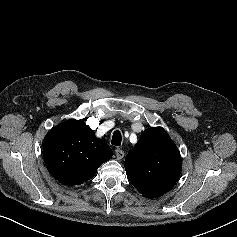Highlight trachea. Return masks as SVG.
<instances>
[{"label": "trachea", "instance_id": "1", "mask_svg": "<svg viewBox=\"0 0 237 237\" xmlns=\"http://www.w3.org/2000/svg\"><path fill=\"white\" fill-rule=\"evenodd\" d=\"M121 141H122V136H121L120 131H118V130L114 131L111 143L114 146H120L121 145Z\"/></svg>", "mask_w": 237, "mask_h": 237}]
</instances>
